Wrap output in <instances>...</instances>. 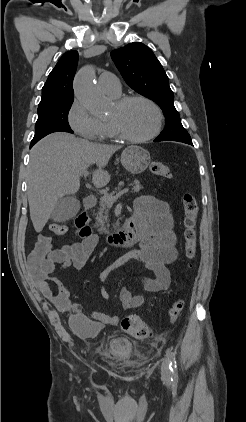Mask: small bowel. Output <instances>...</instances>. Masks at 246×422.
Masks as SVG:
<instances>
[{
    "label": "small bowel",
    "mask_w": 246,
    "mask_h": 422,
    "mask_svg": "<svg viewBox=\"0 0 246 422\" xmlns=\"http://www.w3.org/2000/svg\"><path fill=\"white\" fill-rule=\"evenodd\" d=\"M133 217L139 223L142 237L140 246L106 266L99 275L101 295L108 298L106 281L117 268L130 260H135L154 273V277L134 276L131 281L145 290L159 292L169 288L171 275L168 265L178 258L174 221L167 202L148 195L139 196L134 204ZM97 245V237L90 235L81 242L64 244L53 249L49 254L51 269L47 276L36 279L35 285L44 298L49 300L60 312H70L72 330L80 337H94L104 325L116 326L119 316L92 311L84 313L82 307L71 302L67 287L52 274L58 269L74 268L82 270L87 264ZM50 283L54 285L51 287ZM125 310L139 308L144 303L142 295L133 294L128 287H123L119 294Z\"/></svg>",
    "instance_id": "c3829d8e"
}]
</instances>
